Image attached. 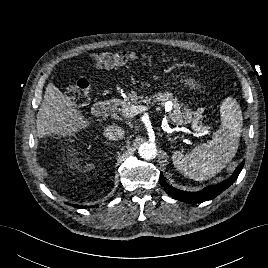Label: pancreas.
<instances>
[{"label": "pancreas", "instance_id": "obj_1", "mask_svg": "<svg viewBox=\"0 0 268 268\" xmlns=\"http://www.w3.org/2000/svg\"><path fill=\"white\" fill-rule=\"evenodd\" d=\"M171 102V104L167 105V102ZM141 103L152 104L157 103L162 107H166L169 111V115L173 123L177 124H187L192 122L194 125L199 123V120L202 118V111L197 110L196 112L191 111L188 106L182 107L181 104L178 103V99L172 95V93L164 92L155 94L152 97H143L138 96L136 92H132L128 94V97L122 101L116 103V107L118 111L124 110L125 108H129L132 105H138Z\"/></svg>", "mask_w": 268, "mask_h": 268}]
</instances>
